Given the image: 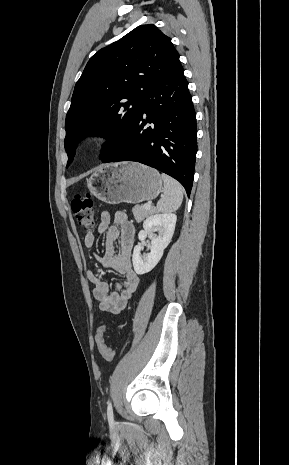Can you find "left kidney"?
<instances>
[{"mask_svg": "<svg viewBox=\"0 0 289 465\" xmlns=\"http://www.w3.org/2000/svg\"><path fill=\"white\" fill-rule=\"evenodd\" d=\"M177 216L172 213L153 214L143 222V230L138 234V239L144 242L147 235H152L151 245L148 246L150 253L141 254L143 245L134 247L132 261L137 274L142 275L150 272L160 261L164 249L169 245L176 225ZM158 234H153V231Z\"/></svg>", "mask_w": 289, "mask_h": 465, "instance_id": "1", "label": "left kidney"}]
</instances>
